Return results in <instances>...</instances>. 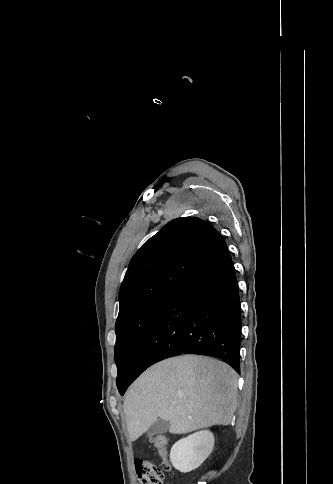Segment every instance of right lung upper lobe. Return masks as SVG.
<instances>
[{"label": "right lung upper lobe", "instance_id": "1", "mask_svg": "<svg viewBox=\"0 0 333 484\" xmlns=\"http://www.w3.org/2000/svg\"><path fill=\"white\" fill-rule=\"evenodd\" d=\"M228 253L223 237L197 217L170 221L130 261L119 292V315L139 303L177 290Z\"/></svg>", "mask_w": 333, "mask_h": 484}]
</instances>
